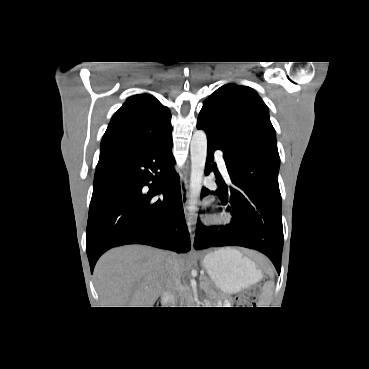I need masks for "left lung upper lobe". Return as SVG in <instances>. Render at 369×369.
Here are the masks:
<instances>
[{"instance_id":"left-lung-upper-lobe-1","label":"left lung upper lobe","mask_w":369,"mask_h":369,"mask_svg":"<svg viewBox=\"0 0 369 369\" xmlns=\"http://www.w3.org/2000/svg\"><path fill=\"white\" fill-rule=\"evenodd\" d=\"M224 150L242 160L238 177L278 185L280 157L268 108L250 87L226 84L204 102L198 121Z\"/></svg>"}]
</instances>
